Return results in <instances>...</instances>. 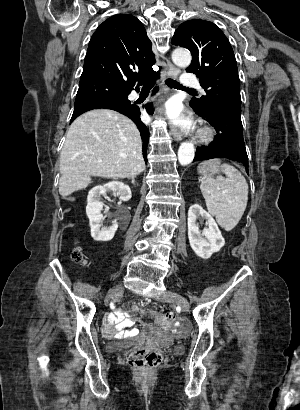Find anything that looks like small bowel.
Instances as JSON below:
<instances>
[{
	"label": "small bowel",
	"instance_id": "obj_1",
	"mask_svg": "<svg viewBox=\"0 0 300 410\" xmlns=\"http://www.w3.org/2000/svg\"><path fill=\"white\" fill-rule=\"evenodd\" d=\"M135 321L121 309H115L109 313L106 317L104 324V335L108 338H114L115 336L130 337L135 335L138 330L133 328ZM165 325H161L160 328H165Z\"/></svg>",
	"mask_w": 300,
	"mask_h": 410
}]
</instances>
